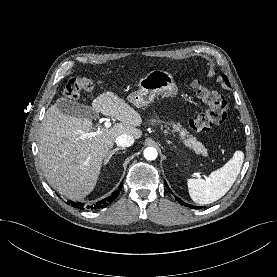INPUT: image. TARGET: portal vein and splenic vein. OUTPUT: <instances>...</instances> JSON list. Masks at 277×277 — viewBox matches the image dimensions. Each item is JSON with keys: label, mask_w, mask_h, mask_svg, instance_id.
<instances>
[{"label": "portal vein and splenic vein", "mask_w": 277, "mask_h": 277, "mask_svg": "<svg viewBox=\"0 0 277 277\" xmlns=\"http://www.w3.org/2000/svg\"><path fill=\"white\" fill-rule=\"evenodd\" d=\"M105 128H110L111 127V122L109 120H106L105 123ZM101 131H95V132H89V133H85L83 136L86 138H91V137H95L96 135H98Z\"/></svg>", "instance_id": "18ae733b"}]
</instances>
